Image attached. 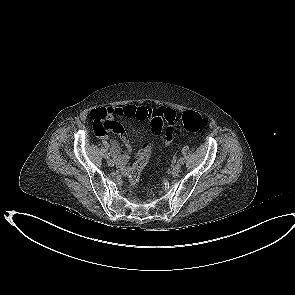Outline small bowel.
Masks as SVG:
<instances>
[{
	"instance_id": "obj_1",
	"label": "small bowel",
	"mask_w": 295,
	"mask_h": 295,
	"mask_svg": "<svg viewBox=\"0 0 295 295\" xmlns=\"http://www.w3.org/2000/svg\"><path fill=\"white\" fill-rule=\"evenodd\" d=\"M169 112L176 114L172 109L165 107L155 109L147 106L126 105L114 109L98 108L92 110L90 116L94 120L95 131L99 136L103 137L105 130L109 129L113 134L122 136L127 150L129 151L130 145L124 132L123 125L118 124V122H116L114 118L109 117V115L139 120L150 119L151 129L155 134H160L163 130L164 123H166L163 143L165 146H169L176 134V129L171 131L167 129V113ZM110 147L111 153L115 158L118 167L123 173H127L129 171L127 167L129 160L128 152H121L114 141H110Z\"/></svg>"
}]
</instances>
